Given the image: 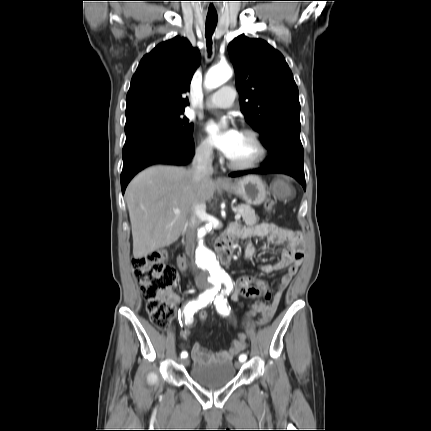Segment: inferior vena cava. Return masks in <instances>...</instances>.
Wrapping results in <instances>:
<instances>
[{
  "label": "inferior vena cava",
  "mask_w": 431,
  "mask_h": 431,
  "mask_svg": "<svg viewBox=\"0 0 431 431\" xmlns=\"http://www.w3.org/2000/svg\"><path fill=\"white\" fill-rule=\"evenodd\" d=\"M193 180L200 182L202 179L210 178L213 174L212 166V147L206 145L196 151L195 157L190 169ZM206 214V205L204 202H199L194 205V212L189 221L187 222V235L186 241L190 249L193 251L197 237V228L201 223L202 217Z\"/></svg>",
  "instance_id": "obj_1"
}]
</instances>
